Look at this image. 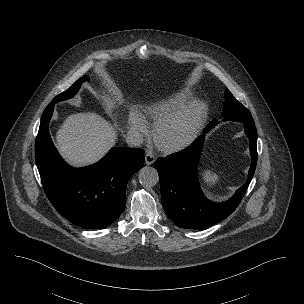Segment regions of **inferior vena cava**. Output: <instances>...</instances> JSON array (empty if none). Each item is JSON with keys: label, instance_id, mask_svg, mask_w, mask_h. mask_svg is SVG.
I'll return each mask as SVG.
<instances>
[{"label": "inferior vena cava", "instance_id": "1", "mask_svg": "<svg viewBox=\"0 0 304 304\" xmlns=\"http://www.w3.org/2000/svg\"><path fill=\"white\" fill-rule=\"evenodd\" d=\"M126 143L130 147H139L143 143V136L138 131L129 130L126 134Z\"/></svg>", "mask_w": 304, "mask_h": 304}]
</instances>
